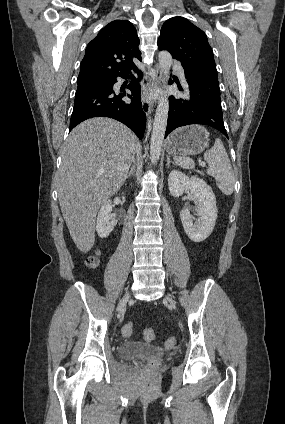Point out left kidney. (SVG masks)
Listing matches in <instances>:
<instances>
[{"mask_svg":"<svg viewBox=\"0 0 285 424\" xmlns=\"http://www.w3.org/2000/svg\"><path fill=\"white\" fill-rule=\"evenodd\" d=\"M168 186L172 196L179 197L185 191H190L198 202L196 211L199 219L195 224L187 208L181 210L180 218L185 233L192 241H204L212 233L217 219L216 198L212 188L203 179L188 177L177 170L170 172Z\"/></svg>","mask_w":285,"mask_h":424,"instance_id":"left-kidney-1","label":"left kidney"}]
</instances>
